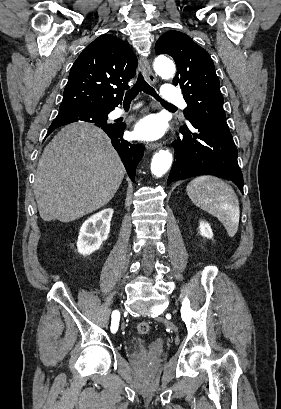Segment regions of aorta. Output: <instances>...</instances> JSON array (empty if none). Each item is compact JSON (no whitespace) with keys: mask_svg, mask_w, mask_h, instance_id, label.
I'll return each mask as SVG.
<instances>
[{"mask_svg":"<svg viewBox=\"0 0 281 409\" xmlns=\"http://www.w3.org/2000/svg\"><path fill=\"white\" fill-rule=\"evenodd\" d=\"M154 70L163 79L173 78L175 75V65L167 57H158L154 61ZM172 154L168 150H161L153 156L151 162V172L157 177L164 175L172 164Z\"/></svg>","mask_w":281,"mask_h":409,"instance_id":"aorta-1","label":"aorta"}]
</instances>
